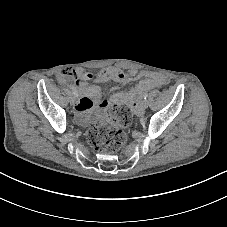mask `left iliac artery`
Here are the masks:
<instances>
[{"instance_id":"obj_1","label":"left iliac artery","mask_w":227,"mask_h":227,"mask_svg":"<svg viewBox=\"0 0 227 227\" xmlns=\"http://www.w3.org/2000/svg\"><path fill=\"white\" fill-rule=\"evenodd\" d=\"M143 98H144L145 100H147V98H148V94H147V93H145V94H144V96H143Z\"/></svg>"}]
</instances>
